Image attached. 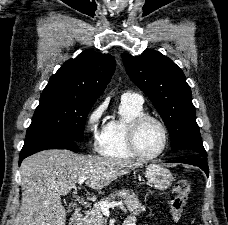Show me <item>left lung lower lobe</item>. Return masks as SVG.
Segmentation results:
<instances>
[{"mask_svg": "<svg viewBox=\"0 0 228 225\" xmlns=\"http://www.w3.org/2000/svg\"><path fill=\"white\" fill-rule=\"evenodd\" d=\"M170 162L185 163V164L198 166L206 173L207 176H209V168L204 157H191V158L181 159V160H172Z\"/></svg>", "mask_w": 228, "mask_h": 225, "instance_id": "left-lung-lower-lobe-1", "label": "left lung lower lobe"}]
</instances>
